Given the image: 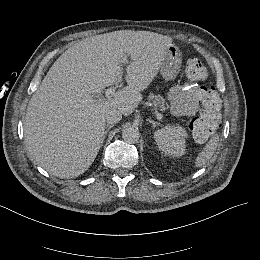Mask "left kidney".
<instances>
[{
	"label": "left kidney",
	"instance_id": "5707ae66",
	"mask_svg": "<svg viewBox=\"0 0 260 260\" xmlns=\"http://www.w3.org/2000/svg\"><path fill=\"white\" fill-rule=\"evenodd\" d=\"M186 130L182 127L165 126L154 133V139L162 152L180 157L185 151Z\"/></svg>",
	"mask_w": 260,
	"mask_h": 260
}]
</instances>
